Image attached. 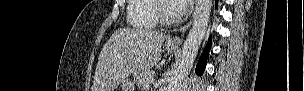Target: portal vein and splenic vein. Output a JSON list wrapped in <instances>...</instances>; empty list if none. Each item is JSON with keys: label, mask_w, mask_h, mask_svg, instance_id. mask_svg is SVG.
<instances>
[{"label": "portal vein and splenic vein", "mask_w": 304, "mask_h": 91, "mask_svg": "<svg viewBox=\"0 0 304 91\" xmlns=\"http://www.w3.org/2000/svg\"><path fill=\"white\" fill-rule=\"evenodd\" d=\"M149 88V85L147 84L146 86H145V89H148Z\"/></svg>", "instance_id": "portal-vein-and-splenic-vein-1"}]
</instances>
